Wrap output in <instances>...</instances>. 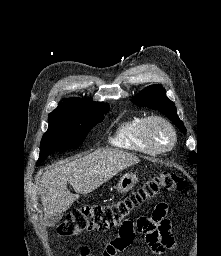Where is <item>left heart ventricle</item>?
<instances>
[{"instance_id": "1", "label": "left heart ventricle", "mask_w": 221, "mask_h": 256, "mask_svg": "<svg viewBox=\"0 0 221 256\" xmlns=\"http://www.w3.org/2000/svg\"><path fill=\"white\" fill-rule=\"evenodd\" d=\"M152 135L159 146H168L172 141V135L163 124L157 123L152 127Z\"/></svg>"}]
</instances>
